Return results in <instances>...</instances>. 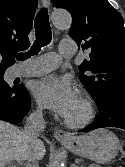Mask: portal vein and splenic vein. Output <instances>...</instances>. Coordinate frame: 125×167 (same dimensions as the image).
<instances>
[{"instance_id": "portal-vein-and-splenic-vein-1", "label": "portal vein and splenic vein", "mask_w": 125, "mask_h": 167, "mask_svg": "<svg viewBox=\"0 0 125 167\" xmlns=\"http://www.w3.org/2000/svg\"><path fill=\"white\" fill-rule=\"evenodd\" d=\"M0 167H4V163H0ZM71 167H76V166L72 165Z\"/></svg>"}]
</instances>
